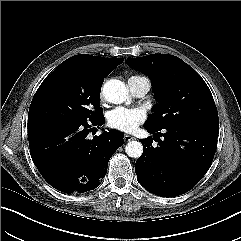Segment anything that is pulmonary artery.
I'll return each mask as SVG.
<instances>
[{
    "label": "pulmonary artery",
    "instance_id": "pulmonary-artery-1",
    "mask_svg": "<svg viewBox=\"0 0 241 241\" xmlns=\"http://www.w3.org/2000/svg\"><path fill=\"white\" fill-rule=\"evenodd\" d=\"M128 85L132 93L137 97L145 96L151 87L150 81L147 78L129 79Z\"/></svg>",
    "mask_w": 241,
    "mask_h": 241
}]
</instances>
